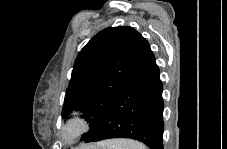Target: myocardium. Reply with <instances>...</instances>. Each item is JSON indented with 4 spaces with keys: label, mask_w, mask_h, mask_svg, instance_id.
I'll use <instances>...</instances> for the list:
<instances>
[{
    "label": "myocardium",
    "mask_w": 227,
    "mask_h": 149,
    "mask_svg": "<svg viewBox=\"0 0 227 149\" xmlns=\"http://www.w3.org/2000/svg\"><path fill=\"white\" fill-rule=\"evenodd\" d=\"M89 125L86 116L79 111L72 112L61 128V138L71 144L78 140L88 131Z\"/></svg>",
    "instance_id": "obj_1"
}]
</instances>
